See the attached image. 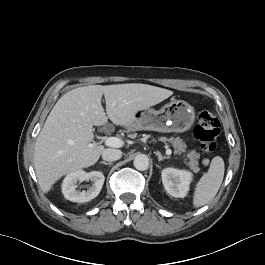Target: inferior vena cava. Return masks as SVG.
<instances>
[{"instance_id":"obj_1","label":"inferior vena cava","mask_w":265,"mask_h":265,"mask_svg":"<svg viewBox=\"0 0 265 265\" xmlns=\"http://www.w3.org/2000/svg\"><path fill=\"white\" fill-rule=\"evenodd\" d=\"M121 156H122L121 150H117V149L109 148V149H105L102 152V159L105 161H109V162L116 161L120 159Z\"/></svg>"}]
</instances>
